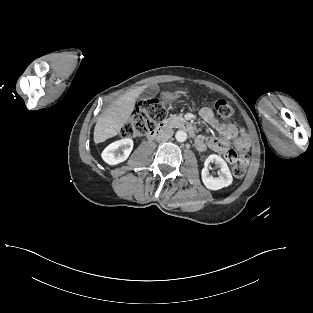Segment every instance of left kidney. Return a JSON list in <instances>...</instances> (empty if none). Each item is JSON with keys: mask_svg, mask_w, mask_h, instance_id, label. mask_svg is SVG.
<instances>
[{"mask_svg": "<svg viewBox=\"0 0 313 313\" xmlns=\"http://www.w3.org/2000/svg\"><path fill=\"white\" fill-rule=\"evenodd\" d=\"M209 163H216L220 168L219 176L213 177L209 174ZM205 167L202 169L201 177L204 185L210 190H219L223 187L231 185L233 177L227 166V163L218 155H210L204 163Z\"/></svg>", "mask_w": 313, "mask_h": 313, "instance_id": "1", "label": "left kidney"}]
</instances>
